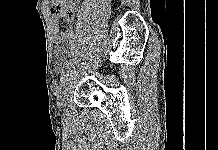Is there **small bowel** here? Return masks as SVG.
<instances>
[{
    "mask_svg": "<svg viewBox=\"0 0 218 150\" xmlns=\"http://www.w3.org/2000/svg\"><path fill=\"white\" fill-rule=\"evenodd\" d=\"M77 0H67L66 4L59 11H52V30L54 38L58 43H71L73 44L75 39V33L71 29L61 30L59 27V19L64 18L67 22H70L73 18L74 10ZM56 60L61 62L65 56L66 51L62 47L56 49Z\"/></svg>",
    "mask_w": 218,
    "mask_h": 150,
    "instance_id": "obj_1",
    "label": "small bowel"
}]
</instances>
